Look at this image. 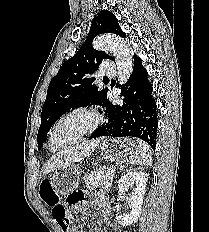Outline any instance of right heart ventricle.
Returning a JSON list of instances; mask_svg holds the SVG:
<instances>
[{"instance_id": "1", "label": "right heart ventricle", "mask_w": 209, "mask_h": 232, "mask_svg": "<svg viewBox=\"0 0 209 232\" xmlns=\"http://www.w3.org/2000/svg\"><path fill=\"white\" fill-rule=\"evenodd\" d=\"M57 143H58V146L54 148V151H57L61 149L62 147H64V145H66L67 142L65 140L57 139Z\"/></svg>"}]
</instances>
